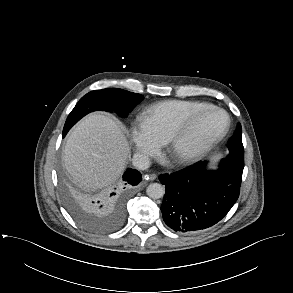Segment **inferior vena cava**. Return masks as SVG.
I'll use <instances>...</instances> for the list:
<instances>
[{"label": "inferior vena cava", "mask_w": 293, "mask_h": 293, "mask_svg": "<svg viewBox=\"0 0 293 293\" xmlns=\"http://www.w3.org/2000/svg\"><path fill=\"white\" fill-rule=\"evenodd\" d=\"M132 164L138 170H145L150 166V159L144 154L135 153L132 158Z\"/></svg>", "instance_id": "obj_1"}]
</instances>
